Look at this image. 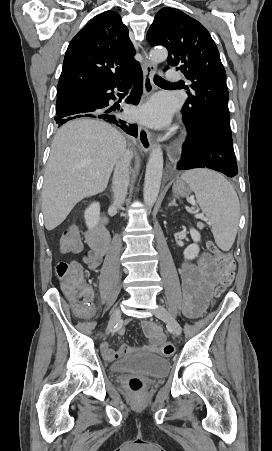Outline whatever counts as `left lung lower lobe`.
<instances>
[{"label":"left lung lower lobe","mask_w":272,"mask_h":451,"mask_svg":"<svg viewBox=\"0 0 272 451\" xmlns=\"http://www.w3.org/2000/svg\"><path fill=\"white\" fill-rule=\"evenodd\" d=\"M187 144L182 149V158L177 169L209 168L228 177L238 173L232 136L216 124L189 125Z\"/></svg>","instance_id":"obj_1"}]
</instances>
